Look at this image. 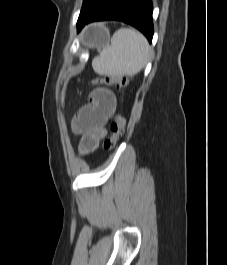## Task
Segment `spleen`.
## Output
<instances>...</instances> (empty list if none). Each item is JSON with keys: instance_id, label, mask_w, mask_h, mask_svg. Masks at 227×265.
<instances>
[{"instance_id": "3e777b00", "label": "spleen", "mask_w": 227, "mask_h": 265, "mask_svg": "<svg viewBox=\"0 0 227 265\" xmlns=\"http://www.w3.org/2000/svg\"><path fill=\"white\" fill-rule=\"evenodd\" d=\"M150 46L138 31L121 28L111 38L99 56L92 61L94 71L106 76H134L139 73L150 57Z\"/></svg>"}]
</instances>
